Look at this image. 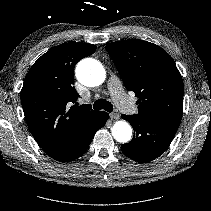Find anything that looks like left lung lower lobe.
Here are the masks:
<instances>
[{"label":"left lung lower lobe","instance_id":"obj_1","mask_svg":"<svg viewBox=\"0 0 211 211\" xmlns=\"http://www.w3.org/2000/svg\"><path fill=\"white\" fill-rule=\"evenodd\" d=\"M121 117L128 121L135 131L133 139L127 144H122L121 150L125 156L141 163L152 161L166 151L180 124L143 120L135 115L122 114Z\"/></svg>","mask_w":211,"mask_h":211}]
</instances>
